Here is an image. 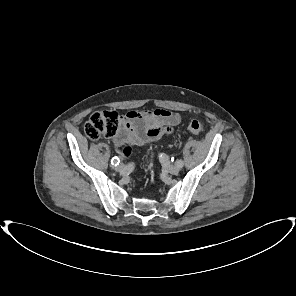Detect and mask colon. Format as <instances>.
<instances>
[{
	"mask_svg": "<svg viewBox=\"0 0 296 296\" xmlns=\"http://www.w3.org/2000/svg\"><path fill=\"white\" fill-rule=\"evenodd\" d=\"M120 117L115 111H98L93 113L85 123L84 132L91 140H98L101 137H112L119 129ZM187 129L196 135L203 133V125L197 120H192L187 124ZM134 147L128 143L123 148L126 157L132 155Z\"/></svg>",
	"mask_w": 296,
	"mask_h": 296,
	"instance_id": "obj_1",
	"label": "colon"
}]
</instances>
